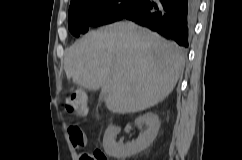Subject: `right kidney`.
Masks as SVG:
<instances>
[{
  "mask_svg": "<svg viewBox=\"0 0 242 160\" xmlns=\"http://www.w3.org/2000/svg\"><path fill=\"white\" fill-rule=\"evenodd\" d=\"M135 124L139 127L146 125L147 129L140 133L135 141L126 144L116 142V137L120 132L119 127L111 125L106 129L103 137V147L107 155L125 159L145 150L154 141L160 128V121L156 114L146 113L139 116L135 120Z\"/></svg>",
  "mask_w": 242,
  "mask_h": 160,
  "instance_id": "right-kidney-1",
  "label": "right kidney"
}]
</instances>
